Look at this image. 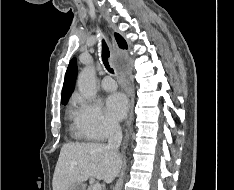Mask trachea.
<instances>
[{
	"label": "trachea",
	"instance_id": "1",
	"mask_svg": "<svg viewBox=\"0 0 234 190\" xmlns=\"http://www.w3.org/2000/svg\"><path fill=\"white\" fill-rule=\"evenodd\" d=\"M109 56H110V51L109 48L107 46V44L105 43V41H102V61L103 64L105 66V68L110 72V73H114L113 69L111 68L110 64H109Z\"/></svg>",
	"mask_w": 234,
	"mask_h": 190
}]
</instances>
